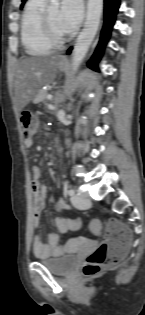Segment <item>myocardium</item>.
<instances>
[{
    "label": "myocardium",
    "instance_id": "1",
    "mask_svg": "<svg viewBox=\"0 0 145 315\" xmlns=\"http://www.w3.org/2000/svg\"><path fill=\"white\" fill-rule=\"evenodd\" d=\"M41 27L43 34L46 38V40L53 46V47H59L64 45L69 39H70V33L63 37H59L51 24L50 17L48 14V11L45 10L42 15V20H41Z\"/></svg>",
    "mask_w": 145,
    "mask_h": 315
}]
</instances>
